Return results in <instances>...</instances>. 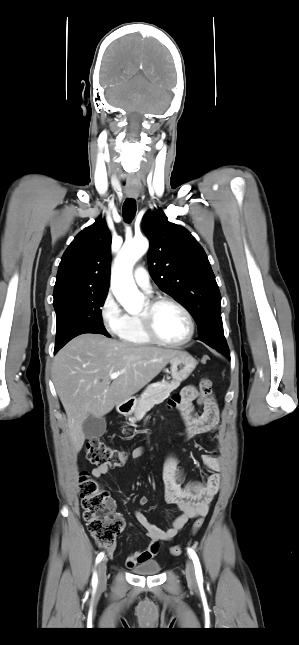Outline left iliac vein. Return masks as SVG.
<instances>
[{
    "label": "left iliac vein",
    "mask_w": 299,
    "mask_h": 645,
    "mask_svg": "<svg viewBox=\"0 0 299 645\" xmlns=\"http://www.w3.org/2000/svg\"><path fill=\"white\" fill-rule=\"evenodd\" d=\"M185 576L190 584H196V575L193 562L188 559L185 567Z\"/></svg>",
    "instance_id": "4c4485c4"
}]
</instances>
